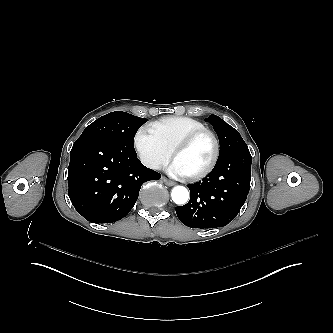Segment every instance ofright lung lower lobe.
Instances as JSON below:
<instances>
[{
	"instance_id": "98d812e1",
	"label": "right lung lower lobe",
	"mask_w": 333,
	"mask_h": 333,
	"mask_svg": "<svg viewBox=\"0 0 333 333\" xmlns=\"http://www.w3.org/2000/svg\"><path fill=\"white\" fill-rule=\"evenodd\" d=\"M160 178L138 160L135 151L105 137L80 136L70 152L68 195L77 212L93 223L125 217L141 185Z\"/></svg>"
}]
</instances>
